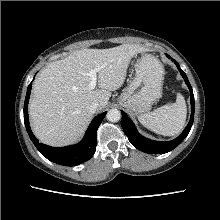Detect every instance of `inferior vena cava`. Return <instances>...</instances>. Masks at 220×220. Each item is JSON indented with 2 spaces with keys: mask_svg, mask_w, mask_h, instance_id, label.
<instances>
[{
  "mask_svg": "<svg viewBox=\"0 0 220 220\" xmlns=\"http://www.w3.org/2000/svg\"><path fill=\"white\" fill-rule=\"evenodd\" d=\"M98 108H99V104L94 102L88 107V111L90 113H95L98 110Z\"/></svg>",
  "mask_w": 220,
  "mask_h": 220,
  "instance_id": "inferior-vena-cava-1",
  "label": "inferior vena cava"
}]
</instances>
